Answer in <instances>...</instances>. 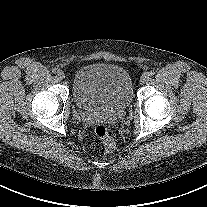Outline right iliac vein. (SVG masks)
Instances as JSON below:
<instances>
[{"instance_id": "1", "label": "right iliac vein", "mask_w": 207, "mask_h": 207, "mask_svg": "<svg viewBox=\"0 0 207 207\" xmlns=\"http://www.w3.org/2000/svg\"><path fill=\"white\" fill-rule=\"evenodd\" d=\"M57 76L60 80L64 79L65 78V74L62 70H58L57 71Z\"/></svg>"}]
</instances>
